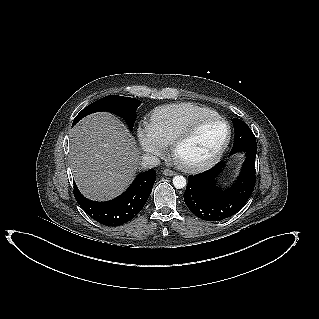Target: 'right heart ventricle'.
Returning a JSON list of instances; mask_svg holds the SVG:
<instances>
[{"label":"right heart ventricle","mask_w":319,"mask_h":319,"mask_svg":"<svg viewBox=\"0 0 319 319\" xmlns=\"http://www.w3.org/2000/svg\"><path fill=\"white\" fill-rule=\"evenodd\" d=\"M216 114L215 111L201 105L182 102L167 104L155 108L150 114V125L154 132L167 144L194 119Z\"/></svg>","instance_id":"e07e8e85"}]
</instances>
